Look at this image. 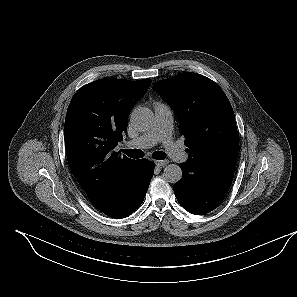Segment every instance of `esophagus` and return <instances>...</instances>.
I'll return each instance as SVG.
<instances>
[{
    "mask_svg": "<svg viewBox=\"0 0 297 297\" xmlns=\"http://www.w3.org/2000/svg\"><path fill=\"white\" fill-rule=\"evenodd\" d=\"M154 163L158 167H164L169 163V160H155Z\"/></svg>",
    "mask_w": 297,
    "mask_h": 297,
    "instance_id": "esophagus-1",
    "label": "esophagus"
}]
</instances>
